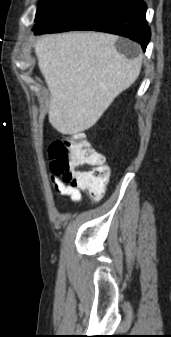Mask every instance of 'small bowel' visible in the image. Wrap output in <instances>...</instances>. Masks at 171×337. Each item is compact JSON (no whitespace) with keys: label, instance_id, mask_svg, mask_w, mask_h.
<instances>
[{"label":"small bowel","instance_id":"small-bowel-1","mask_svg":"<svg viewBox=\"0 0 171 337\" xmlns=\"http://www.w3.org/2000/svg\"><path fill=\"white\" fill-rule=\"evenodd\" d=\"M51 184L59 194L69 196L74 203H79L81 201V191L77 187L66 184L61 179L54 176L51 177Z\"/></svg>","mask_w":171,"mask_h":337}]
</instances>
